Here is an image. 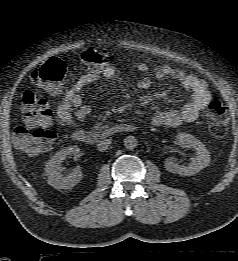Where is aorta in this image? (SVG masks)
<instances>
[{
	"mask_svg": "<svg viewBox=\"0 0 238 261\" xmlns=\"http://www.w3.org/2000/svg\"><path fill=\"white\" fill-rule=\"evenodd\" d=\"M137 139L135 136L129 135L124 139V146L125 148L132 150L134 148H136L137 146Z\"/></svg>",
	"mask_w": 238,
	"mask_h": 261,
	"instance_id": "762f6f07",
	"label": "aorta"
}]
</instances>
